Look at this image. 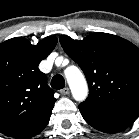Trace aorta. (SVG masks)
<instances>
[{"label":"aorta","instance_id":"762f6f07","mask_svg":"<svg viewBox=\"0 0 139 139\" xmlns=\"http://www.w3.org/2000/svg\"><path fill=\"white\" fill-rule=\"evenodd\" d=\"M64 74L73 98L79 102L84 101L88 96V85L82 72L76 66H70Z\"/></svg>","mask_w":139,"mask_h":139}]
</instances>
